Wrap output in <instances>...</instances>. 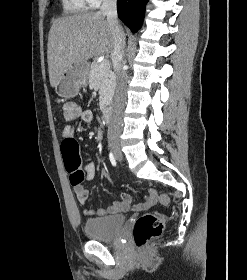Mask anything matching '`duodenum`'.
<instances>
[{"instance_id": "410a0bca", "label": "duodenum", "mask_w": 247, "mask_h": 280, "mask_svg": "<svg viewBox=\"0 0 247 280\" xmlns=\"http://www.w3.org/2000/svg\"><path fill=\"white\" fill-rule=\"evenodd\" d=\"M103 118L106 122H110L111 120V109L106 107L103 109Z\"/></svg>"}]
</instances>
